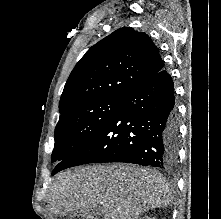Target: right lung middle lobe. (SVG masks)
Returning a JSON list of instances; mask_svg holds the SVG:
<instances>
[{
    "label": "right lung middle lobe",
    "mask_w": 221,
    "mask_h": 219,
    "mask_svg": "<svg viewBox=\"0 0 221 219\" xmlns=\"http://www.w3.org/2000/svg\"><path fill=\"white\" fill-rule=\"evenodd\" d=\"M122 98H101L75 105L60 115L52 162L60 163L83 148L104 126Z\"/></svg>",
    "instance_id": "dd1d6c3e"
}]
</instances>
